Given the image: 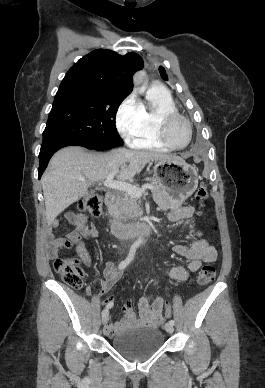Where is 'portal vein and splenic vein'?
<instances>
[{
  "label": "portal vein and splenic vein",
  "mask_w": 265,
  "mask_h": 388,
  "mask_svg": "<svg viewBox=\"0 0 265 388\" xmlns=\"http://www.w3.org/2000/svg\"><path fill=\"white\" fill-rule=\"evenodd\" d=\"M118 172L119 170H114L113 174H109V176H107L104 182V186H106V188H112V190H122V192H127V194L132 196V198H141L147 188H149V190H154V186H151V184H144L142 188H136V186L126 184V182H116L113 178L116 174H118ZM79 180L80 182H86L85 178H79Z\"/></svg>",
  "instance_id": "18ae733b"
}]
</instances>
